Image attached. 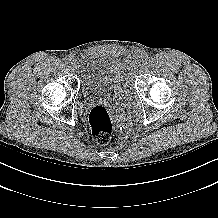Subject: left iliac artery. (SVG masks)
<instances>
[{"label":"left iliac artery","mask_w":218,"mask_h":218,"mask_svg":"<svg viewBox=\"0 0 218 218\" xmlns=\"http://www.w3.org/2000/svg\"><path fill=\"white\" fill-rule=\"evenodd\" d=\"M148 55L146 54V53H143L142 55H141V61L143 62V63H147V61H148Z\"/></svg>","instance_id":"1"}]
</instances>
